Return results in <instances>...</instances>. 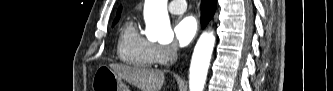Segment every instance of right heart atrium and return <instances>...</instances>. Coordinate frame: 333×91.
Returning <instances> with one entry per match:
<instances>
[{"instance_id": "obj_1", "label": "right heart atrium", "mask_w": 333, "mask_h": 91, "mask_svg": "<svg viewBox=\"0 0 333 91\" xmlns=\"http://www.w3.org/2000/svg\"><path fill=\"white\" fill-rule=\"evenodd\" d=\"M178 50L174 44H156L153 47L154 62L159 65L173 61Z\"/></svg>"}]
</instances>
